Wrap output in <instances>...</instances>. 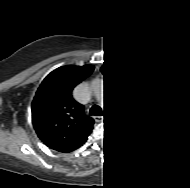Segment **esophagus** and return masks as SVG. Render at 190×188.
I'll return each mask as SVG.
<instances>
[{
  "label": "esophagus",
  "instance_id": "1",
  "mask_svg": "<svg viewBox=\"0 0 190 188\" xmlns=\"http://www.w3.org/2000/svg\"><path fill=\"white\" fill-rule=\"evenodd\" d=\"M96 120H97L98 122H102V121L105 120V116H97V117H96Z\"/></svg>",
  "mask_w": 190,
  "mask_h": 188
}]
</instances>
